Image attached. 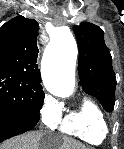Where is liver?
I'll use <instances>...</instances> for the list:
<instances>
[{
  "mask_svg": "<svg viewBox=\"0 0 124 149\" xmlns=\"http://www.w3.org/2000/svg\"><path fill=\"white\" fill-rule=\"evenodd\" d=\"M86 149L81 143L48 132H29L6 141L0 149Z\"/></svg>",
  "mask_w": 124,
  "mask_h": 149,
  "instance_id": "liver-1",
  "label": "liver"
}]
</instances>
